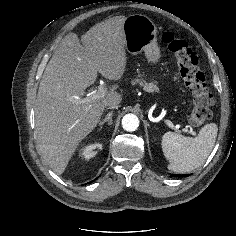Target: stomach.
<instances>
[{"label": "stomach", "instance_id": "1", "mask_svg": "<svg viewBox=\"0 0 236 236\" xmlns=\"http://www.w3.org/2000/svg\"><path fill=\"white\" fill-rule=\"evenodd\" d=\"M126 38V50L131 54L145 53L150 64L160 61L161 53L157 44V28L153 21L145 15L128 16L123 24Z\"/></svg>", "mask_w": 236, "mask_h": 236}]
</instances>
